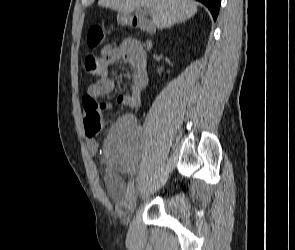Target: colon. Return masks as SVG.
Segmentation results:
<instances>
[{
	"mask_svg": "<svg viewBox=\"0 0 295 250\" xmlns=\"http://www.w3.org/2000/svg\"><path fill=\"white\" fill-rule=\"evenodd\" d=\"M104 39V32L100 27H93L88 34V43L91 47H97ZM84 69L89 75H98L100 61L97 56L88 54L84 58ZM84 128L88 137H94L103 130V113L105 112L94 98L85 96L83 98Z\"/></svg>",
	"mask_w": 295,
	"mask_h": 250,
	"instance_id": "1",
	"label": "colon"
}]
</instances>
